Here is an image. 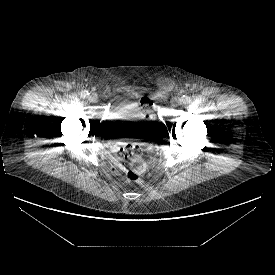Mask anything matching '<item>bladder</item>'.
<instances>
[{"mask_svg": "<svg viewBox=\"0 0 275 275\" xmlns=\"http://www.w3.org/2000/svg\"><path fill=\"white\" fill-rule=\"evenodd\" d=\"M149 123L147 114L131 102L120 101L111 109L107 124L113 129H129L134 132Z\"/></svg>", "mask_w": 275, "mask_h": 275, "instance_id": "31cf9c89", "label": "bladder"}]
</instances>
